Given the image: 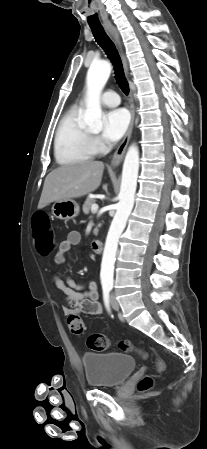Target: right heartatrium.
Segmentation results:
<instances>
[{"label":"right heart atrium","instance_id":"1","mask_svg":"<svg viewBox=\"0 0 207 449\" xmlns=\"http://www.w3.org/2000/svg\"><path fill=\"white\" fill-rule=\"evenodd\" d=\"M93 143L94 146L98 149L101 150L103 148L102 142L98 139V138H94L93 139Z\"/></svg>","mask_w":207,"mask_h":449}]
</instances>
